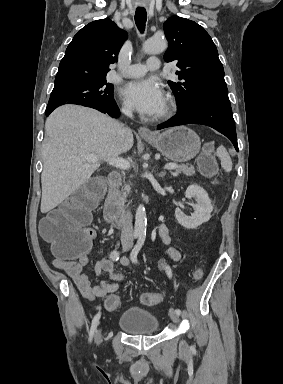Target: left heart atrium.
Wrapping results in <instances>:
<instances>
[{
  "label": "left heart atrium",
  "instance_id": "39dd6f15",
  "mask_svg": "<svg viewBox=\"0 0 283 384\" xmlns=\"http://www.w3.org/2000/svg\"><path fill=\"white\" fill-rule=\"evenodd\" d=\"M122 94L134 109L144 115H156L164 106V94L152 80L131 81L124 86Z\"/></svg>",
  "mask_w": 283,
  "mask_h": 384
}]
</instances>
